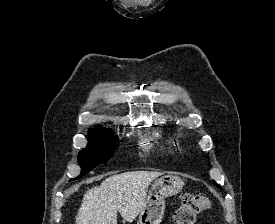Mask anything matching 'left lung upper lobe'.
Wrapping results in <instances>:
<instances>
[{"label":"left lung upper lobe","instance_id":"obj_1","mask_svg":"<svg viewBox=\"0 0 275 224\" xmlns=\"http://www.w3.org/2000/svg\"><path fill=\"white\" fill-rule=\"evenodd\" d=\"M213 182L217 187L221 188L220 185H218L215 181H213Z\"/></svg>","mask_w":275,"mask_h":224}]
</instances>
